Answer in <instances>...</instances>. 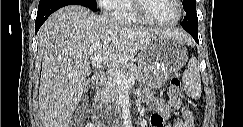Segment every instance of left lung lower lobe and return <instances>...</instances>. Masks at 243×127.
I'll use <instances>...</instances> for the list:
<instances>
[{"label": "left lung lower lobe", "instance_id": "1", "mask_svg": "<svg viewBox=\"0 0 243 127\" xmlns=\"http://www.w3.org/2000/svg\"><path fill=\"white\" fill-rule=\"evenodd\" d=\"M181 25L199 44L197 15H186Z\"/></svg>", "mask_w": 243, "mask_h": 127}]
</instances>
